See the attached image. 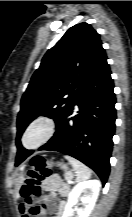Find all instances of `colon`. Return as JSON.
Here are the masks:
<instances>
[{
	"instance_id": "obj_1",
	"label": "colon",
	"mask_w": 132,
	"mask_h": 217,
	"mask_svg": "<svg viewBox=\"0 0 132 217\" xmlns=\"http://www.w3.org/2000/svg\"><path fill=\"white\" fill-rule=\"evenodd\" d=\"M51 164L42 156H34L25 172L21 187V195L25 199H32L38 196L41 190V182L50 175ZM40 212V207L33 206L29 210V217H36Z\"/></svg>"
}]
</instances>
